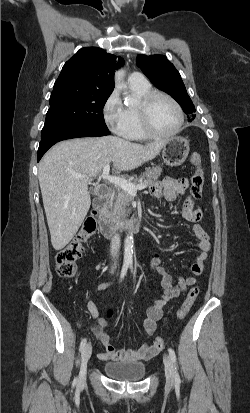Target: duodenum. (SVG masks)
<instances>
[{
    "label": "duodenum",
    "mask_w": 250,
    "mask_h": 413,
    "mask_svg": "<svg viewBox=\"0 0 250 413\" xmlns=\"http://www.w3.org/2000/svg\"><path fill=\"white\" fill-rule=\"evenodd\" d=\"M111 195L112 190L107 189L93 202L92 213L96 217L101 234L107 238H112L120 232H139L142 229V221L138 217L130 218L124 222H117L108 215L106 203Z\"/></svg>",
    "instance_id": "1"
}]
</instances>
